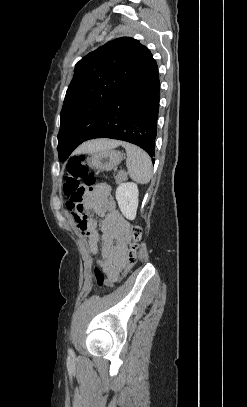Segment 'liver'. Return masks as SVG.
<instances>
[{
    "label": "liver",
    "mask_w": 247,
    "mask_h": 407,
    "mask_svg": "<svg viewBox=\"0 0 247 407\" xmlns=\"http://www.w3.org/2000/svg\"><path fill=\"white\" fill-rule=\"evenodd\" d=\"M122 142L118 140H109V139H99L86 142L82 144L78 149L77 153H94L96 151L113 149L121 145Z\"/></svg>",
    "instance_id": "1"
}]
</instances>
